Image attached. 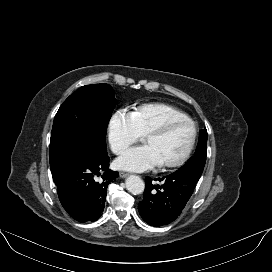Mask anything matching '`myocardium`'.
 <instances>
[{
	"instance_id": "obj_1",
	"label": "myocardium",
	"mask_w": 272,
	"mask_h": 272,
	"mask_svg": "<svg viewBox=\"0 0 272 272\" xmlns=\"http://www.w3.org/2000/svg\"><path fill=\"white\" fill-rule=\"evenodd\" d=\"M180 125H189L191 127L192 135H191L190 143L188 145V148L186 149V151L180 158L172 162L161 163L160 166L163 168L169 169V168L180 167L189 159V157L191 156L195 148V144L197 140L198 130H197L196 124L190 118L189 119H173L161 124L160 126L156 128H153L152 130L148 131L145 134V139L152 136H163L167 134L168 132H170L173 128Z\"/></svg>"
}]
</instances>
